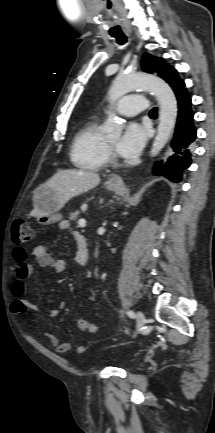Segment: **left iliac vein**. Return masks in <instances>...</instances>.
I'll list each match as a JSON object with an SVG mask.
<instances>
[{
    "label": "left iliac vein",
    "mask_w": 215,
    "mask_h": 433,
    "mask_svg": "<svg viewBox=\"0 0 215 433\" xmlns=\"http://www.w3.org/2000/svg\"><path fill=\"white\" fill-rule=\"evenodd\" d=\"M136 321H137V332H138L146 323L145 315L142 311L137 312Z\"/></svg>",
    "instance_id": "obj_1"
}]
</instances>
